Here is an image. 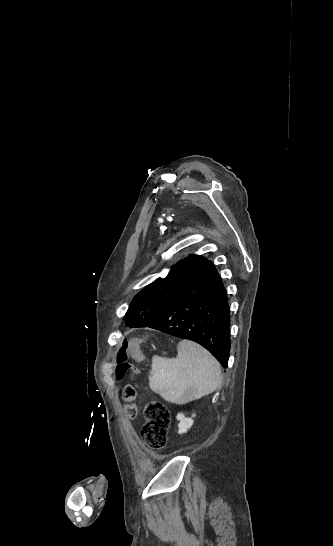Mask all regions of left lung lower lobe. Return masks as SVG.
<instances>
[{
    "mask_svg": "<svg viewBox=\"0 0 333 546\" xmlns=\"http://www.w3.org/2000/svg\"><path fill=\"white\" fill-rule=\"evenodd\" d=\"M126 326H139L129 317ZM170 335L195 341L209 350L226 368L230 351V309L227 292L211 262L200 270L190 287L163 308L148 326Z\"/></svg>",
    "mask_w": 333,
    "mask_h": 546,
    "instance_id": "1",
    "label": "left lung lower lobe"
}]
</instances>
